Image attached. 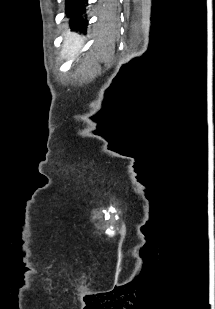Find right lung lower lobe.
<instances>
[{"label": "right lung lower lobe", "mask_w": 215, "mask_h": 309, "mask_svg": "<svg viewBox=\"0 0 215 309\" xmlns=\"http://www.w3.org/2000/svg\"><path fill=\"white\" fill-rule=\"evenodd\" d=\"M88 0H66V16L70 19V28L72 30L86 33L88 21L86 20V11Z\"/></svg>", "instance_id": "1"}]
</instances>
